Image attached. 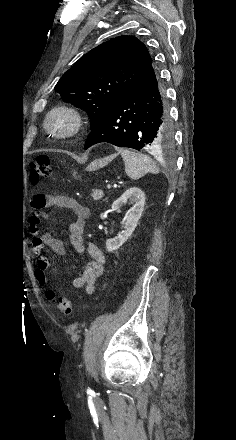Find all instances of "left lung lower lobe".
Wrapping results in <instances>:
<instances>
[{"instance_id":"1","label":"left lung lower lobe","mask_w":236,"mask_h":440,"mask_svg":"<svg viewBox=\"0 0 236 440\" xmlns=\"http://www.w3.org/2000/svg\"><path fill=\"white\" fill-rule=\"evenodd\" d=\"M171 136L165 90L151 64L92 128L85 149L100 142L136 150L155 149L169 142Z\"/></svg>"}]
</instances>
